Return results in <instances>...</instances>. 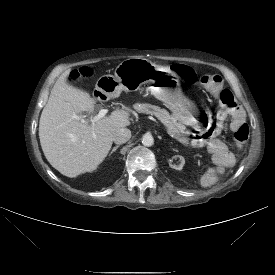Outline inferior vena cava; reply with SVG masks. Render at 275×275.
<instances>
[{
    "instance_id": "602c4592",
    "label": "inferior vena cava",
    "mask_w": 275,
    "mask_h": 275,
    "mask_svg": "<svg viewBox=\"0 0 275 275\" xmlns=\"http://www.w3.org/2000/svg\"><path fill=\"white\" fill-rule=\"evenodd\" d=\"M131 138V131L128 128H120L113 135L116 144L126 143Z\"/></svg>"
}]
</instances>
